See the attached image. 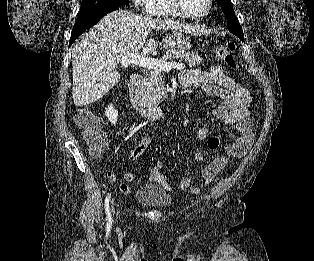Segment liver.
<instances>
[{"mask_svg": "<svg viewBox=\"0 0 314 261\" xmlns=\"http://www.w3.org/2000/svg\"><path fill=\"white\" fill-rule=\"evenodd\" d=\"M154 29L195 33L193 26L169 19H152L128 11H114L103 17L72 49L73 88L76 106L102 98L120 80V59L128 53L149 55L157 49L147 39Z\"/></svg>", "mask_w": 314, "mask_h": 261, "instance_id": "obj_1", "label": "liver"}]
</instances>
